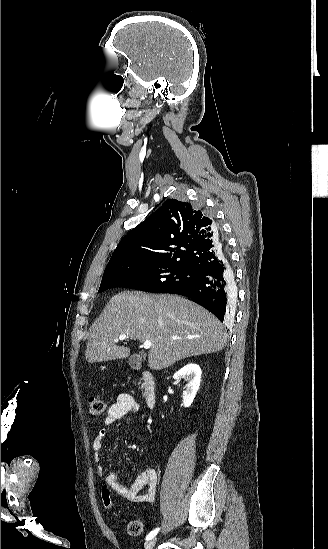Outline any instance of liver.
I'll return each instance as SVG.
<instances>
[{
	"label": "liver",
	"instance_id": "obj_1",
	"mask_svg": "<svg viewBox=\"0 0 328 549\" xmlns=\"http://www.w3.org/2000/svg\"><path fill=\"white\" fill-rule=\"evenodd\" d=\"M88 335L87 363L129 357V347L115 345L120 335H128L135 341H151L148 365L154 371L167 369L186 357L217 353L227 343L222 323L201 305L179 295H146L141 291L114 295ZM172 337L181 339L173 341Z\"/></svg>",
	"mask_w": 328,
	"mask_h": 549
}]
</instances>
